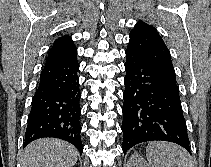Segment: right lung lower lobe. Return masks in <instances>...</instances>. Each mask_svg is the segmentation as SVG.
Instances as JSON below:
<instances>
[{"label": "right lung lower lobe", "instance_id": "1", "mask_svg": "<svg viewBox=\"0 0 211 167\" xmlns=\"http://www.w3.org/2000/svg\"><path fill=\"white\" fill-rule=\"evenodd\" d=\"M77 55L45 65L28 115L24 146L43 137L73 144L83 152Z\"/></svg>", "mask_w": 211, "mask_h": 167}]
</instances>
